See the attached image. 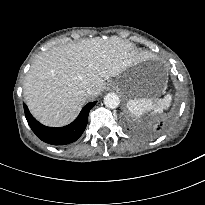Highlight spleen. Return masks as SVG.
<instances>
[{"instance_id": "1", "label": "spleen", "mask_w": 205, "mask_h": 205, "mask_svg": "<svg viewBox=\"0 0 205 205\" xmlns=\"http://www.w3.org/2000/svg\"><path fill=\"white\" fill-rule=\"evenodd\" d=\"M172 100L171 94H167L162 99H149V98H140V99H131L127 102L128 110L131 114L139 116L145 111L149 110H163L170 106Z\"/></svg>"}]
</instances>
